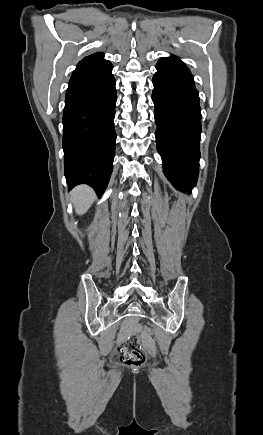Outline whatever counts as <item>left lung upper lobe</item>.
I'll return each mask as SVG.
<instances>
[{"label": "left lung upper lobe", "mask_w": 263, "mask_h": 435, "mask_svg": "<svg viewBox=\"0 0 263 435\" xmlns=\"http://www.w3.org/2000/svg\"><path fill=\"white\" fill-rule=\"evenodd\" d=\"M166 59H170V60H172V61H177V62L183 63L181 60H179L178 58H176V57H174V56L169 57V58H166Z\"/></svg>", "instance_id": "5c2ea615"}]
</instances>
